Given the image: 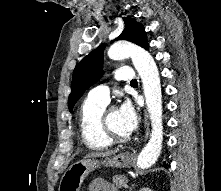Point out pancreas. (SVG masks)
I'll use <instances>...</instances> for the list:
<instances>
[{
    "instance_id": "pancreas-1",
    "label": "pancreas",
    "mask_w": 221,
    "mask_h": 191,
    "mask_svg": "<svg viewBox=\"0 0 221 191\" xmlns=\"http://www.w3.org/2000/svg\"><path fill=\"white\" fill-rule=\"evenodd\" d=\"M112 181L118 188H121L128 182V179L124 175H114Z\"/></svg>"
}]
</instances>
